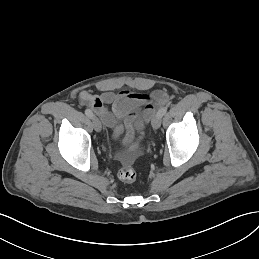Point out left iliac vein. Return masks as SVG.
<instances>
[{"label":"left iliac vein","instance_id":"obj_1","mask_svg":"<svg viewBox=\"0 0 259 259\" xmlns=\"http://www.w3.org/2000/svg\"><path fill=\"white\" fill-rule=\"evenodd\" d=\"M161 125V116H159L158 114H156L154 116V118L152 119V127L154 129H158Z\"/></svg>","mask_w":259,"mask_h":259}]
</instances>
